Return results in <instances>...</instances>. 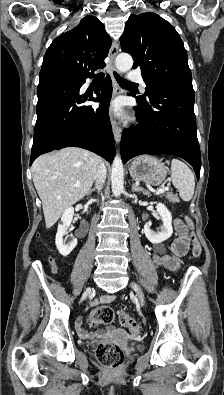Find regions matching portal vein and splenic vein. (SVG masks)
<instances>
[{
  "label": "portal vein and splenic vein",
  "mask_w": 224,
  "mask_h": 395,
  "mask_svg": "<svg viewBox=\"0 0 224 395\" xmlns=\"http://www.w3.org/2000/svg\"><path fill=\"white\" fill-rule=\"evenodd\" d=\"M168 190H169L168 187H163V188L159 189L158 191H156V195H159V194H161V193H164L165 191H168Z\"/></svg>",
  "instance_id": "obj_1"
}]
</instances>
